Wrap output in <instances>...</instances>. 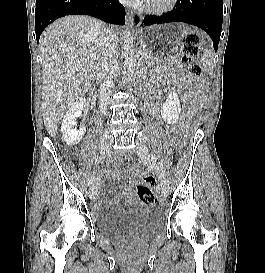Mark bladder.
<instances>
[{
    "label": "bladder",
    "mask_w": 265,
    "mask_h": 273,
    "mask_svg": "<svg viewBox=\"0 0 265 273\" xmlns=\"http://www.w3.org/2000/svg\"><path fill=\"white\" fill-rule=\"evenodd\" d=\"M96 224L99 231L109 237L149 236L162 229L163 219L160 210L156 207L136 205L104 216H97Z\"/></svg>",
    "instance_id": "1"
}]
</instances>
